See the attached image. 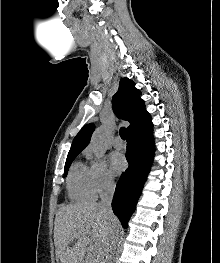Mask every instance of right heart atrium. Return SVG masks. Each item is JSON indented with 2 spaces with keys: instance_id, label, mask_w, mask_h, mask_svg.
Here are the masks:
<instances>
[{
  "instance_id": "d8ad5b80",
  "label": "right heart atrium",
  "mask_w": 220,
  "mask_h": 263,
  "mask_svg": "<svg viewBox=\"0 0 220 263\" xmlns=\"http://www.w3.org/2000/svg\"><path fill=\"white\" fill-rule=\"evenodd\" d=\"M90 170L97 194H104L114 187V177L105 161L92 160Z\"/></svg>"
}]
</instances>
